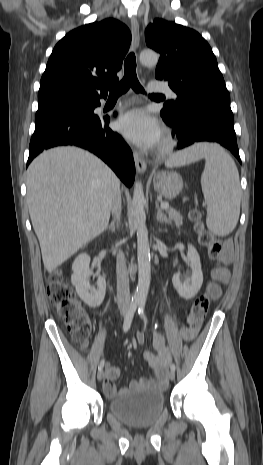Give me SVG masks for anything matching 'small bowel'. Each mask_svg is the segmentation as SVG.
Here are the masks:
<instances>
[{
  "instance_id": "1",
  "label": "small bowel",
  "mask_w": 263,
  "mask_h": 465,
  "mask_svg": "<svg viewBox=\"0 0 263 465\" xmlns=\"http://www.w3.org/2000/svg\"><path fill=\"white\" fill-rule=\"evenodd\" d=\"M221 259L225 262L230 260V253L229 251H225L221 255ZM228 277V271L225 268L214 269L212 271V279L223 278L226 279ZM207 291L211 294V296L217 299L220 296V289L209 284L207 286ZM205 322H199L198 330H200V334H205ZM182 336L185 339H191L195 335V331L190 329H182ZM144 335L142 333L137 334V341L138 343H144ZM153 346L155 351L147 350L143 353V358L149 364V366L154 370L155 379H148V378H141L137 381L131 383L132 387H148L153 389H162L165 388L167 385V366L171 359L170 353L165 345V340L162 335L159 333H155L153 335ZM120 368L115 366L106 367V377L104 381V392L107 396L113 397L117 394H121L127 391L126 388H122L118 390L115 385L116 379L120 376Z\"/></svg>"
}]
</instances>
